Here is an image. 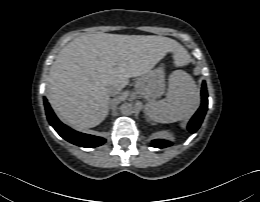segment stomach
I'll return each mask as SVG.
<instances>
[{
    "label": "stomach",
    "instance_id": "stomach-1",
    "mask_svg": "<svg viewBox=\"0 0 260 202\" xmlns=\"http://www.w3.org/2000/svg\"><path fill=\"white\" fill-rule=\"evenodd\" d=\"M164 88V65H161L154 70H150L145 75L141 76L136 83L138 94L149 101L162 95Z\"/></svg>",
    "mask_w": 260,
    "mask_h": 202
}]
</instances>
